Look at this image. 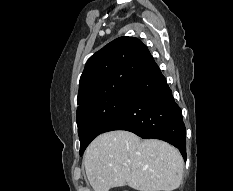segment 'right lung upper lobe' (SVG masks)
<instances>
[{"mask_svg": "<svg viewBox=\"0 0 233 191\" xmlns=\"http://www.w3.org/2000/svg\"><path fill=\"white\" fill-rule=\"evenodd\" d=\"M152 58L147 47L135 37H120L104 46L85 65L77 111L108 96L129 91Z\"/></svg>", "mask_w": 233, "mask_h": 191, "instance_id": "right-lung-upper-lobe-1", "label": "right lung upper lobe"}]
</instances>
